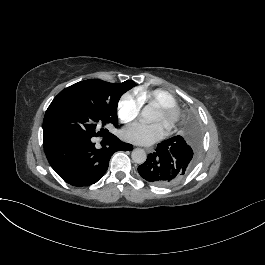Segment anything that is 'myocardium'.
<instances>
[{"label": "myocardium", "mask_w": 265, "mask_h": 265, "mask_svg": "<svg viewBox=\"0 0 265 265\" xmlns=\"http://www.w3.org/2000/svg\"><path fill=\"white\" fill-rule=\"evenodd\" d=\"M157 110L163 115L164 124L169 129L174 128L181 118V111L177 105H162L157 107Z\"/></svg>", "instance_id": "1"}]
</instances>
